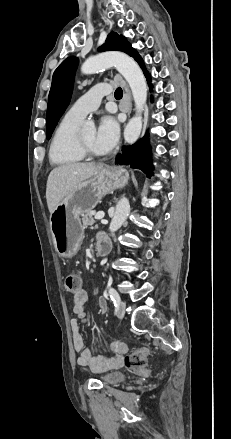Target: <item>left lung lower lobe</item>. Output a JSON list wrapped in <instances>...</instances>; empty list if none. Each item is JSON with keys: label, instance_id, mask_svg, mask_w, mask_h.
<instances>
[{"label": "left lung lower lobe", "instance_id": "1", "mask_svg": "<svg viewBox=\"0 0 231 439\" xmlns=\"http://www.w3.org/2000/svg\"><path fill=\"white\" fill-rule=\"evenodd\" d=\"M135 60L138 62L140 67L142 68L149 87L151 88V80L150 75L147 72L144 62L142 58L137 55ZM148 133L144 138H142L138 143L133 144L132 146H123L122 153L117 155L116 163L120 165H128L132 169H140L147 176H151L153 171L152 159H151V151L149 147Z\"/></svg>", "mask_w": 231, "mask_h": 439}]
</instances>
